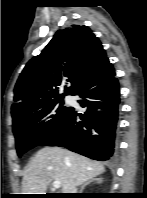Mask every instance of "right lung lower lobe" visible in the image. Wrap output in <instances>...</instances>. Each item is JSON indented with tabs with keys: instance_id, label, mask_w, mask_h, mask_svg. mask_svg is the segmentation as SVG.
<instances>
[{
	"instance_id": "1",
	"label": "right lung lower lobe",
	"mask_w": 147,
	"mask_h": 198,
	"mask_svg": "<svg viewBox=\"0 0 147 198\" xmlns=\"http://www.w3.org/2000/svg\"><path fill=\"white\" fill-rule=\"evenodd\" d=\"M74 95L86 107L82 121L72 108L62 126L40 146H61L95 160H107L114 152L119 110V84L109 60Z\"/></svg>"
}]
</instances>
